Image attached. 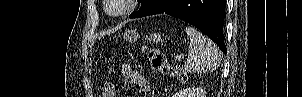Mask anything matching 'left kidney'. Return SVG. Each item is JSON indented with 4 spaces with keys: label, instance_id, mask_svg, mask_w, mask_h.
<instances>
[{
    "label": "left kidney",
    "instance_id": "obj_1",
    "mask_svg": "<svg viewBox=\"0 0 302 97\" xmlns=\"http://www.w3.org/2000/svg\"><path fill=\"white\" fill-rule=\"evenodd\" d=\"M173 97H206V93L202 88L188 87L178 91Z\"/></svg>",
    "mask_w": 302,
    "mask_h": 97
}]
</instances>
